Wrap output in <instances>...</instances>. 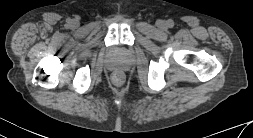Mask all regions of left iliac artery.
<instances>
[{
    "mask_svg": "<svg viewBox=\"0 0 253 138\" xmlns=\"http://www.w3.org/2000/svg\"><path fill=\"white\" fill-rule=\"evenodd\" d=\"M168 25H169V27H173L174 26V22L172 20H169L168 21Z\"/></svg>",
    "mask_w": 253,
    "mask_h": 138,
    "instance_id": "obj_1",
    "label": "left iliac artery"
}]
</instances>
